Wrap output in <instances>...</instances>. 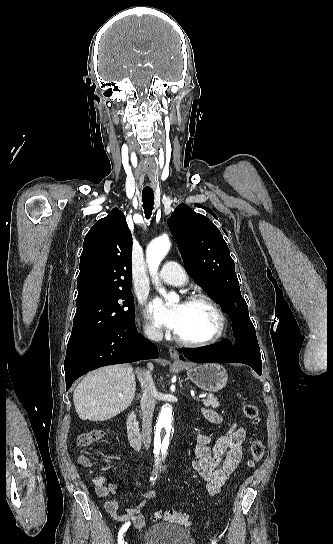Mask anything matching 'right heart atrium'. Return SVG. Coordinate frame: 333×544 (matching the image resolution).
<instances>
[{
    "label": "right heart atrium",
    "instance_id": "d8ad5b80",
    "mask_svg": "<svg viewBox=\"0 0 333 544\" xmlns=\"http://www.w3.org/2000/svg\"><path fill=\"white\" fill-rule=\"evenodd\" d=\"M143 332L145 336L150 339H157L161 336L160 329L156 325L148 322L143 325Z\"/></svg>",
    "mask_w": 333,
    "mask_h": 544
}]
</instances>
